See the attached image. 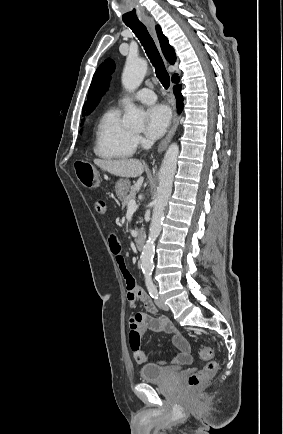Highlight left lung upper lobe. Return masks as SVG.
Here are the masks:
<instances>
[{
    "label": "left lung upper lobe",
    "mask_w": 283,
    "mask_h": 434,
    "mask_svg": "<svg viewBox=\"0 0 283 434\" xmlns=\"http://www.w3.org/2000/svg\"><path fill=\"white\" fill-rule=\"evenodd\" d=\"M115 64L113 60L107 59L105 62L97 69L93 81L89 88L88 94V112H91L98 104L100 97L103 95L104 91L107 89V85L110 79L111 73L114 71Z\"/></svg>",
    "instance_id": "5c2ea615"
}]
</instances>
